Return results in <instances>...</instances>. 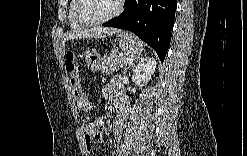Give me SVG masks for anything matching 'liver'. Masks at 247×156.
<instances>
[{"mask_svg": "<svg viewBox=\"0 0 247 156\" xmlns=\"http://www.w3.org/2000/svg\"><path fill=\"white\" fill-rule=\"evenodd\" d=\"M120 30L117 28H107V27H95L90 29H85L81 31H74L68 34L64 38V42L73 39H85V38H104L106 36H110L115 33H119Z\"/></svg>", "mask_w": 247, "mask_h": 156, "instance_id": "1", "label": "liver"}]
</instances>
